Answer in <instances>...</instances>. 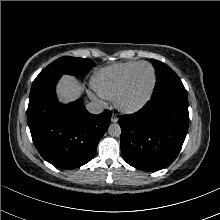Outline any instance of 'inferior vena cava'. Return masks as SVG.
I'll list each match as a JSON object with an SVG mask.
<instances>
[{
	"instance_id": "1",
	"label": "inferior vena cava",
	"mask_w": 220,
	"mask_h": 220,
	"mask_svg": "<svg viewBox=\"0 0 220 220\" xmlns=\"http://www.w3.org/2000/svg\"><path fill=\"white\" fill-rule=\"evenodd\" d=\"M105 107L104 102L101 100H94L86 105L87 110L92 114H100Z\"/></svg>"
}]
</instances>
